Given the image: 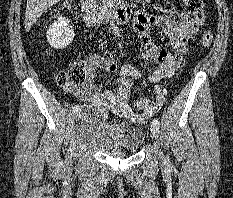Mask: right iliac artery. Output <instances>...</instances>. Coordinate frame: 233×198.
<instances>
[{
	"label": "right iliac artery",
	"instance_id": "right-iliac-artery-1",
	"mask_svg": "<svg viewBox=\"0 0 233 198\" xmlns=\"http://www.w3.org/2000/svg\"><path fill=\"white\" fill-rule=\"evenodd\" d=\"M78 110H79V105H74V106L72 107V112H73V113L78 112Z\"/></svg>",
	"mask_w": 233,
	"mask_h": 198
}]
</instances>
